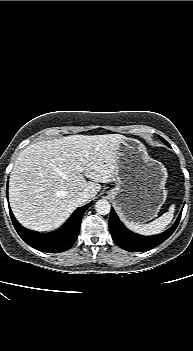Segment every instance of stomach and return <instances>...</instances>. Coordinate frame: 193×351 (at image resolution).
<instances>
[{
    "instance_id": "0dacf381",
    "label": "stomach",
    "mask_w": 193,
    "mask_h": 351,
    "mask_svg": "<svg viewBox=\"0 0 193 351\" xmlns=\"http://www.w3.org/2000/svg\"><path fill=\"white\" fill-rule=\"evenodd\" d=\"M117 163L116 185L107 194L120 217L139 224L152 220L167 197L165 166L148 155L144 144L127 137L119 143Z\"/></svg>"
}]
</instances>
